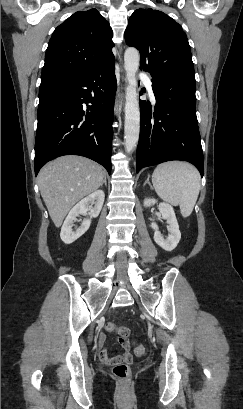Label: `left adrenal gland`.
<instances>
[{
  "mask_svg": "<svg viewBox=\"0 0 243 409\" xmlns=\"http://www.w3.org/2000/svg\"><path fill=\"white\" fill-rule=\"evenodd\" d=\"M146 184H148V185L152 188V185H151V183L149 182V177H148L147 180L145 181L144 185H146Z\"/></svg>",
  "mask_w": 243,
  "mask_h": 409,
  "instance_id": "a2214340",
  "label": "left adrenal gland"
}]
</instances>
